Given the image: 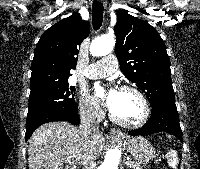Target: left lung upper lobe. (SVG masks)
Wrapping results in <instances>:
<instances>
[{
    "label": "left lung upper lobe",
    "mask_w": 200,
    "mask_h": 169,
    "mask_svg": "<svg viewBox=\"0 0 200 169\" xmlns=\"http://www.w3.org/2000/svg\"><path fill=\"white\" fill-rule=\"evenodd\" d=\"M116 15L115 53L123 74L145 93L151 106L175 102L170 60L158 32L123 10Z\"/></svg>",
    "instance_id": "1"
}]
</instances>
